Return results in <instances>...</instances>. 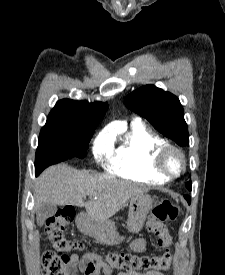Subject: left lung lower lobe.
<instances>
[{
	"instance_id": "obj_1",
	"label": "left lung lower lobe",
	"mask_w": 225,
	"mask_h": 275,
	"mask_svg": "<svg viewBox=\"0 0 225 275\" xmlns=\"http://www.w3.org/2000/svg\"><path fill=\"white\" fill-rule=\"evenodd\" d=\"M185 199L187 200V202L190 204V197L185 195Z\"/></svg>"
}]
</instances>
